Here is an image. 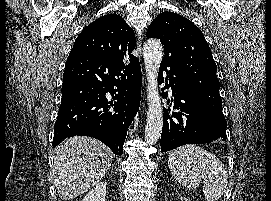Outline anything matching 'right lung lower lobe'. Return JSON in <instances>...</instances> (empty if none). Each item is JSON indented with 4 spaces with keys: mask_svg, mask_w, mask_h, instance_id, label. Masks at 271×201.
Wrapping results in <instances>:
<instances>
[{
    "mask_svg": "<svg viewBox=\"0 0 271 201\" xmlns=\"http://www.w3.org/2000/svg\"><path fill=\"white\" fill-rule=\"evenodd\" d=\"M141 83L138 59L125 63L92 54H69L53 147L67 137L90 136L121 156L127 130L139 109Z\"/></svg>",
    "mask_w": 271,
    "mask_h": 201,
    "instance_id": "right-lung-lower-lobe-1",
    "label": "right lung lower lobe"
}]
</instances>
